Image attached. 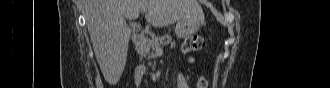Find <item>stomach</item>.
Instances as JSON below:
<instances>
[{"mask_svg": "<svg viewBox=\"0 0 330 88\" xmlns=\"http://www.w3.org/2000/svg\"><path fill=\"white\" fill-rule=\"evenodd\" d=\"M202 22L201 19H182L176 24L175 33L178 38L191 36L198 31Z\"/></svg>", "mask_w": 330, "mask_h": 88, "instance_id": "1", "label": "stomach"}]
</instances>
